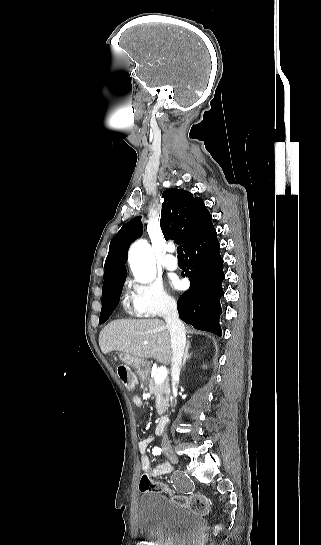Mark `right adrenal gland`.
<instances>
[{
	"label": "right adrenal gland",
	"mask_w": 321,
	"mask_h": 545,
	"mask_svg": "<svg viewBox=\"0 0 321 545\" xmlns=\"http://www.w3.org/2000/svg\"><path fill=\"white\" fill-rule=\"evenodd\" d=\"M189 347H190V341H187L182 367H185L187 359H191V355H189Z\"/></svg>",
	"instance_id": "1"
}]
</instances>
